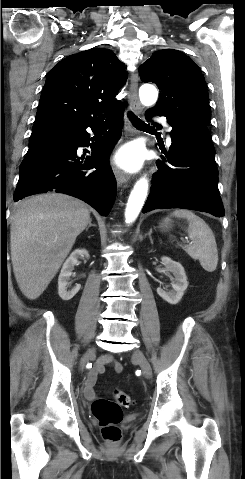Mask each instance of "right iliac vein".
<instances>
[{
  "mask_svg": "<svg viewBox=\"0 0 245 479\" xmlns=\"http://www.w3.org/2000/svg\"><path fill=\"white\" fill-rule=\"evenodd\" d=\"M94 354H95V349H94V348L91 349V350H89V351L86 353V355H85V356L82 358V360H81V364H80L81 369H83V368L85 367L86 363L89 361V359H90Z\"/></svg>",
  "mask_w": 245,
  "mask_h": 479,
  "instance_id": "63e3f726",
  "label": "right iliac vein"
}]
</instances>
